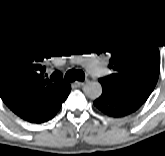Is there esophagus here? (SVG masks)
Returning <instances> with one entry per match:
<instances>
[{"label": "esophagus", "mask_w": 165, "mask_h": 156, "mask_svg": "<svg viewBox=\"0 0 165 156\" xmlns=\"http://www.w3.org/2000/svg\"><path fill=\"white\" fill-rule=\"evenodd\" d=\"M86 81L82 82V81H75L74 85H76L77 87L83 86L85 84Z\"/></svg>", "instance_id": "1"}]
</instances>
